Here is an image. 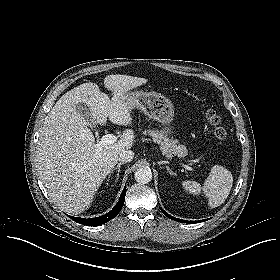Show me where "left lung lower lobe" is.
I'll list each match as a JSON object with an SVG mask.
<instances>
[{"label":"left lung lower lobe","mask_w":280,"mask_h":280,"mask_svg":"<svg viewBox=\"0 0 280 280\" xmlns=\"http://www.w3.org/2000/svg\"><path fill=\"white\" fill-rule=\"evenodd\" d=\"M160 209L165 216H167L168 218H170L172 220H175V221H178V222H181V223H194V221H186V220H181V219H178V218H174L173 216L169 215L166 211H164L162 208H160ZM196 222H198V221H196Z\"/></svg>","instance_id":"left-lung-lower-lobe-1"}]
</instances>
